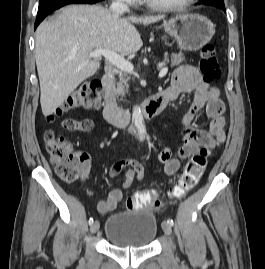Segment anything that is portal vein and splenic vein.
Segmentation results:
<instances>
[{
  "label": "portal vein and splenic vein",
  "instance_id": "obj_1",
  "mask_svg": "<svg viewBox=\"0 0 265 269\" xmlns=\"http://www.w3.org/2000/svg\"><path fill=\"white\" fill-rule=\"evenodd\" d=\"M90 57L97 58V57H105L106 60L111 62L113 65H115L118 69L125 71V72H133L134 66L131 62L125 60L124 57L120 56L119 54L107 50V49H96L92 52H90ZM168 72V68L164 67L160 70L158 77L162 78L164 77Z\"/></svg>",
  "mask_w": 265,
  "mask_h": 269
}]
</instances>
